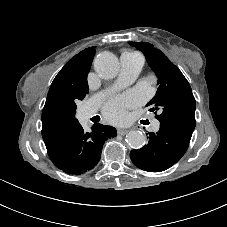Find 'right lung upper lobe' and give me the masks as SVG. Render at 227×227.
<instances>
[{"instance_id": "1", "label": "right lung upper lobe", "mask_w": 227, "mask_h": 227, "mask_svg": "<svg viewBox=\"0 0 227 227\" xmlns=\"http://www.w3.org/2000/svg\"><path fill=\"white\" fill-rule=\"evenodd\" d=\"M94 55L95 50L90 47L69 60L54 78L47 98L61 92H88L87 75Z\"/></svg>"}]
</instances>
